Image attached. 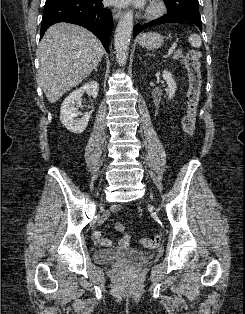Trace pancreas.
I'll return each mask as SVG.
<instances>
[{"mask_svg":"<svg viewBox=\"0 0 245 314\" xmlns=\"http://www.w3.org/2000/svg\"><path fill=\"white\" fill-rule=\"evenodd\" d=\"M179 58H182V59L184 58L182 50H177L173 56V59L178 60Z\"/></svg>","mask_w":245,"mask_h":314,"instance_id":"1","label":"pancreas"}]
</instances>
